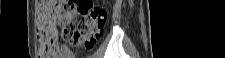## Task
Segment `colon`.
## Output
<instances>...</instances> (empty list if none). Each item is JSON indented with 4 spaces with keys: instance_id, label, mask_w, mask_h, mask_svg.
<instances>
[{
    "instance_id": "1",
    "label": "colon",
    "mask_w": 225,
    "mask_h": 58,
    "mask_svg": "<svg viewBox=\"0 0 225 58\" xmlns=\"http://www.w3.org/2000/svg\"><path fill=\"white\" fill-rule=\"evenodd\" d=\"M71 5L78 8L82 19L70 20ZM107 17L105 8L93 0L37 1L36 38L40 58H64L67 49H89L100 38Z\"/></svg>"
}]
</instances>
